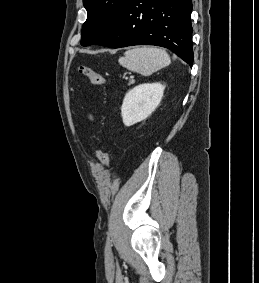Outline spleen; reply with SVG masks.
<instances>
[{"label": "spleen", "instance_id": "3e777b00", "mask_svg": "<svg viewBox=\"0 0 259 283\" xmlns=\"http://www.w3.org/2000/svg\"><path fill=\"white\" fill-rule=\"evenodd\" d=\"M170 63V57L165 50L146 46L128 50L119 59L120 65L144 76H149Z\"/></svg>", "mask_w": 259, "mask_h": 283}]
</instances>
